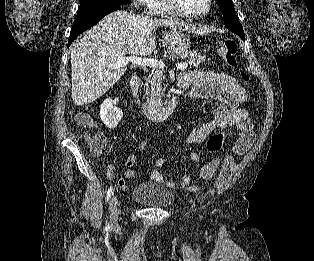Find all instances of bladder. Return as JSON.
Wrapping results in <instances>:
<instances>
[{
  "mask_svg": "<svg viewBox=\"0 0 314 261\" xmlns=\"http://www.w3.org/2000/svg\"><path fill=\"white\" fill-rule=\"evenodd\" d=\"M131 197L134 201L148 208H166L173 203L172 191L161 187L154 182H143L138 184Z\"/></svg>",
  "mask_w": 314,
  "mask_h": 261,
  "instance_id": "31cf9c89",
  "label": "bladder"
}]
</instances>
